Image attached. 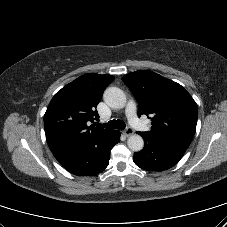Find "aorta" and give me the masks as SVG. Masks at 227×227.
Listing matches in <instances>:
<instances>
[{
  "instance_id": "aorta-1",
  "label": "aorta",
  "mask_w": 227,
  "mask_h": 227,
  "mask_svg": "<svg viewBox=\"0 0 227 227\" xmlns=\"http://www.w3.org/2000/svg\"><path fill=\"white\" fill-rule=\"evenodd\" d=\"M103 98L105 103L114 109H121L126 105V95L117 87L107 88L104 92ZM127 145L130 150L138 152L143 149L144 141L140 135L134 134L128 138Z\"/></svg>"
}]
</instances>
